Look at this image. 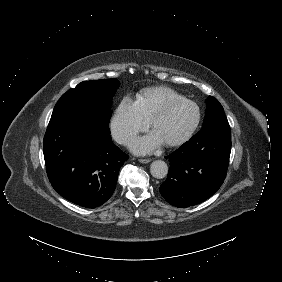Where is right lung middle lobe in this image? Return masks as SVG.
Returning a JSON list of instances; mask_svg holds the SVG:
<instances>
[{"mask_svg":"<svg viewBox=\"0 0 282 282\" xmlns=\"http://www.w3.org/2000/svg\"><path fill=\"white\" fill-rule=\"evenodd\" d=\"M120 82L117 79L91 80L79 83L61 96L52 116L69 108H84L94 112L106 121L112 115L110 106Z\"/></svg>","mask_w":282,"mask_h":282,"instance_id":"obj_1","label":"right lung middle lobe"}]
</instances>
